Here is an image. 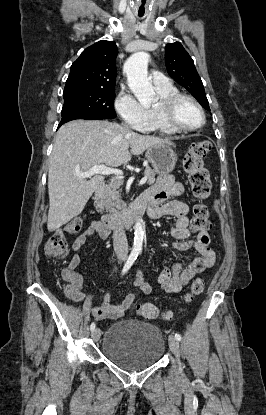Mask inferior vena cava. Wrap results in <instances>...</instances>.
I'll return each mask as SVG.
<instances>
[{"mask_svg":"<svg viewBox=\"0 0 266 415\" xmlns=\"http://www.w3.org/2000/svg\"><path fill=\"white\" fill-rule=\"evenodd\" d=\"M113 247L118 258H127L128 241L123 226H117L113 231Z\"/></svg>","mask_w":266,"mask_h":415,"instance_id":"1","label":"inferior vena cava"}]
</instances>
